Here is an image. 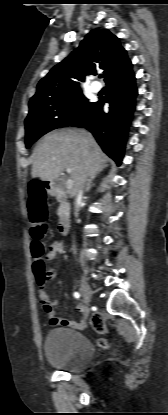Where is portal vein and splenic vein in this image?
Segmentation results:
<instances>
[{"label": "portal vein and splenic vein", "mask_w": 168, "mask_h": 415, "mask_svg": "<svg viewBox=\"0 0 168 415\" xmlns=\"http://www.w3.org/2000/svg\"><path fill=\"white\" fill-rule=\"evenodd\" d=\"M66 171H67V173H70L71 172V170L69 169V168H67L66 169ZM72 186H73V181L72 180H67L66 181V188L68 189V190H70L71 188H72Z\"/></svg>", "instance_id": "1"}]
</instances>
